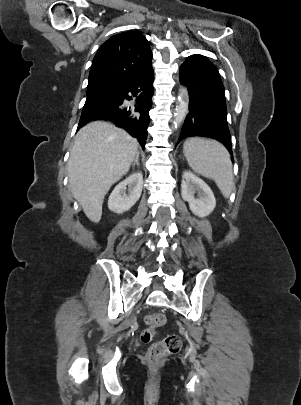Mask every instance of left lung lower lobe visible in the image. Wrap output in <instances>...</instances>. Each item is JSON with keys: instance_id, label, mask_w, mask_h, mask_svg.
Wrapping results in <instances>:
<instances>
[{"instance_id": "left-lung-lower-lobe-1", "label": "left lung lower lobe", "mask_w": 301, "mask_h": 405, "mask_svg": "<svg viewBox=\"0 0 301 405\" xmlns=\"http://www.w3.org/2000/svg\"><path fill=\"white\" fill-rule=\"evenodd\" d=\"M179 79L188 87L190 100L177 143L186 137H208L221 142L232 156L225 90L218 69L205 56L194 54L181 65Z\"/></svg>"}]
</instances>
